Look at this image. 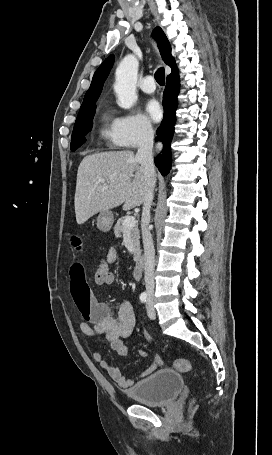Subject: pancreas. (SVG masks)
Instances as JSON below:
<instances>
[{"label": "pancreas", "mask_w": 272, "mask_h": 455, "mask_svg": "<svg viewBox=\"0 0 272 455\" xmlns=\"http://www.w3.org/2000/svg\"><path fill=\"white\" fill-rule=\"evenodd\" d=\"M125 218H120L115 227H114V234L117 238H121L125 232V228L123 226ZM130 234H131V240L133 243V248H134V261H138L140 257V234H139V229L138 226L135 225L133 228L130 229Z\"/></svg>", "instance_id": "pancreas-1"}]
</instances>
